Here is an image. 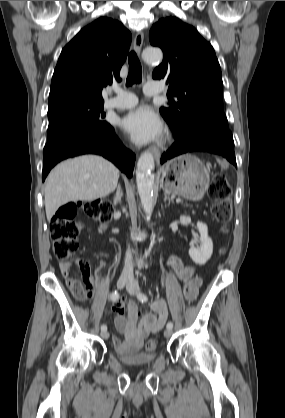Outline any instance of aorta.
I'll list each match as a JSON object with an SVG mask.
<instances>
[{
  "label": "aorta",
  "mask_w": 285,
  "mask_h": 418,
  "mask_svg": "<svg viewBox=\"0 0 285 418\" xmlns=\"http://www.w3.org/2000/svg\"><path fill=\"white\" fill-rule=\"evenodd\" d=\"M143 59L147 63H156L162 60V52L159 49H145ZM154 157L149 151H145L139 158L136 168V183L143 209L148 217L151 216L154 203Z\"/></svg>",
  "instance_id": "1"
}]
</instances>
